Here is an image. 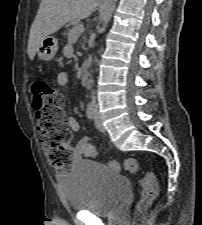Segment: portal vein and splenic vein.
I'll list each match as a JSON object with an SVG mask.
<instances>
[{
  "label": "portal vein and splenic vein",
  "mask_w": 202,
  "mask_h": 225,
  "mask_svg": "<svg viewBox=\"0 0 202 225\" xmlns=\"http://www.w3.org/2000/svg\"><path fill=\"white\" fill-rule=\"evenodd\" d=\"M84 30V26L81 24L75 25L69 32L68 41L77 40Z\"/></svg>",
  "instance_id": "portal-vein-and-splenic-vein-1"
}]
</instances>
